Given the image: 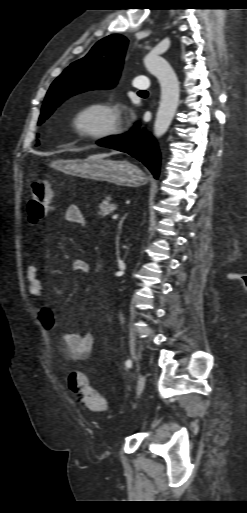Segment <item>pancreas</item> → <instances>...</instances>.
Masks as SVG:
<instances>
[{
    "mask_svg": "<svg viewBox=\"0 0 247 513\" xmlns=\"http://www.w3.org/2000/svg\"><path fill=\"white\" fill-rule=\"evenodd\" d=\"M111 201H112V199L110 198V196H107V197H105L103 202L99 205L98 214L100 216L105 217L108 215H112L113 212L117 209V205L115 203H112Z\"/></svg>",
    "mask_w": 247,
    "mask_h": 513,
    "instance_id": "pancreas-1",
    "label": "pancreas"
}]
</instances>
